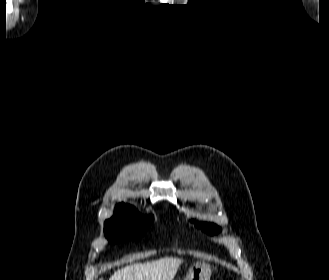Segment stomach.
<instances>
[{
	"mask_svg": "<svg viewBox=\"0 0 329 280\" xmlns=\"http://www.w3.org/2000/svg\"><path fill=\"white\" fill-rule=\"evenodd\" d=\"M212 271L210 265L197 262L190 266L183 280H210Z\"/></svg>",
	"mask_w": 329,
	"mask_h": 280,
	"instance_id": "obj_1",
	"label": "stomach"
}]
</instances>
